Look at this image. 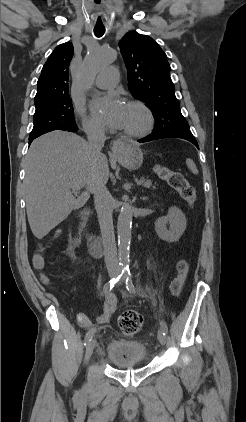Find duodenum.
<instances>
[{"label":"duodenum","instance_id":"obj_1","mask_svg":"<svg viewBox=\"0 0 246 422\" xmlns=\"http://www.w3.org/2000/svg\"><path fill=\"white\" fill-rule=\"evenodd\" d=\"M88 214V210L84 209L82 210L78 215V228L79 231L85 236L88 246L90 248V251L95 256H100L102 253V246L99 238L91 233H89L86 229V217Z\"/></svg>","mask_w":246,"mask_h":422}]
</instances>
